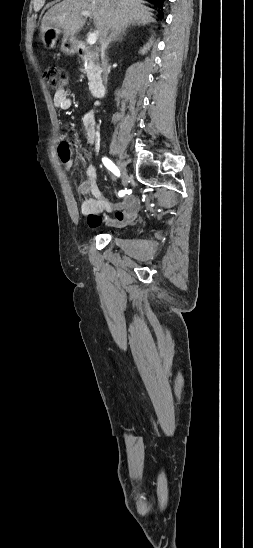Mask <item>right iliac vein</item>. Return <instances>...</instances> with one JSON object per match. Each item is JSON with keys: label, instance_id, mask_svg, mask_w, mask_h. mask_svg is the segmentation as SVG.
Masks as SVG:
<instances>
[{"label": "right iliac vein", "instance_id": "right-iliac-vein-1", "mask_svg": "<svg viewBox=\"0 0 253 548\" xmlns=\"http://www.w3.org/2000/svg\"><path fill=\"white\" fill-rule=\"evenodd\" d=\"M117 165H118V168L121 172V183L124 187H126L127 184H128L129 175L126 171L125 166L120 161H117Z\"/></svg>", "mask_w": 253, "mask_h": 548}]
</instances>
